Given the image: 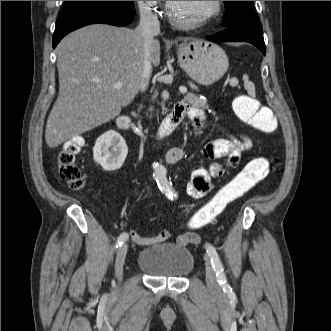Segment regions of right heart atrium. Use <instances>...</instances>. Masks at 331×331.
<instances>
[{
  "mask_svg": "<svg viewBox=\"0 0 331 331\" xmlns=\"http://www.w3.org/2000/svg\"><path fill=\"white\" fill-rule=\"evenodd\" d=\"M137 4L144 19H151L152 16H158V1H137Z\"/></svg>",
  "mask_w": 331,
  "mask_h": 331,
  "instance_id": "1",
  "label": "right heart atrium"
}]
</instances>
